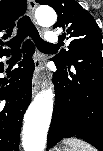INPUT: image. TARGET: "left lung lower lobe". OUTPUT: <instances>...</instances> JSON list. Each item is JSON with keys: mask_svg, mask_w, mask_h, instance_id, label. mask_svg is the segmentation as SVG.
I'll return each mask as SVG.
<instances>
[{"mask_svg": "<svg viewBox=\"0 0 103 151\" xmlns=\"http://www.w3.org/2000/svg\"><path fill=\"white\" fill-rule=\"evenodd\" d=\"M55 64L56 101L47 147L76 136L103 151L102 51H82L66 65Z\"/></svg>", "mask_w": 103, "mask_h": 151, "instance_id": "0a47b994", "label": "left lung lower lobe"}]
</instances>
